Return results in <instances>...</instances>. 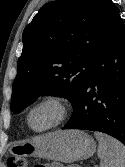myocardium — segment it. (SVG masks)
<instances>
[{
  "mask_svg": "<svg viewBox=\"0 0 125 167\" xmlns=\"http://www.w3.org/2000/svg\"><path fill=\"white\" fill-rule=\"evenodd\" d=\"M44 106H51L55 110L54 118L48 125L41 128H35L32 125V116L35 111ZM68 113L69 107L63 97L54 94L46 95L32 104L29 108L27 112V125L31 130L43 133L59 126L67 118Z\"/></svg>",
  "mask_w": 125,
  "mask_h": 167,
  "instance_id": "1",
  "label": "myocardium"
}]
</instances>
